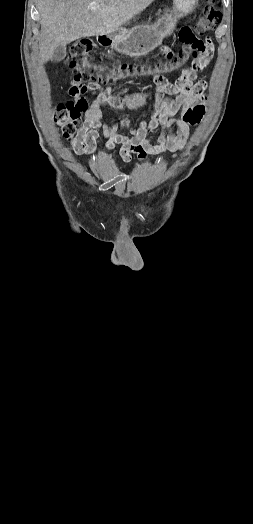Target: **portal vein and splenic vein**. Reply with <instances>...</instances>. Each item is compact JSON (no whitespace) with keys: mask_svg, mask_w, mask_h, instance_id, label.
Listing matches in <instances>:
<instances>
[{"mask_svg":"<svg viewBox=\"0 0 253 524\" xmlns=\"http://www.w3.org/2000/svg\"><path fill=\"white\" fill-rule=\"evenodd\" d=\"M90 8L93 10V9H96V6L95 5H91Z\"/></svg>","mask_w":253,"mask_h":524,"instance_id":"portal-vein-and-splenic-vein-1","label":"portal vein and splenic vein"}]
</instances>
